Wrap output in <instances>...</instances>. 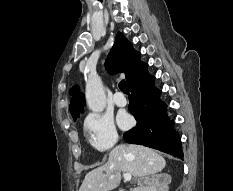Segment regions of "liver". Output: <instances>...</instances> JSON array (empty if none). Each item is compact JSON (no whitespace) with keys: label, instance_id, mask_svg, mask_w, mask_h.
Segmentation results:
<instances>
[{"label":"liver","instance_id":"liver-1","mask_svg":"<svg viewBox=\"0 0 233 191\" xmlns=\"http://www.w3.org/2000/svg\"><path fill=\"white\" fill-rule=\"evenodd\" d=\"M165 166V159L155 150L121 144L110 151L104 165L86 174L79 191H111L120 184L121 172L135 178L145 177L162 171Z\"/></svg>","mask_w":233,"mask_h":191}]
</instances>
